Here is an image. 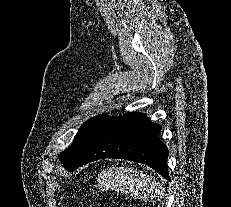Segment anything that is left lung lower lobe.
<instances>
[{
	"label": "left lung lower lobe",
	"instance_id": "left-lung-lower-lobe-1",
	"mask_svg": "<svg viewBox=\"0 0 231 207\" xmlns=\"http://www.w3.org/2000/svg\"><path fill=\"white\" fill-rule=\"evenodd\" d=\"M160 131L161 126L142 113L109 117L80 162L69 171L98 159L118 158L144 163L170 180L168 149L158 138Z\"/></svg>",
	"mask_w": 231,
	"mask_h": 207
}]
</instances>
